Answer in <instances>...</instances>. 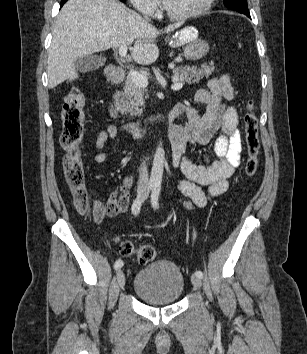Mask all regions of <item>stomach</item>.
<instances>
[{
  "label": "stomach",
  "mask_w": 307,
  "mask_h": 354,
  "mask_svg": "<svg viewBox=\"0 0 307 354\" xmlns=\"http://www.w3.org/2000/svg\"><path fill=\"white\" fill-rule=\"evenodd\" d=\"M198 31L195 27H186L169 39L172 47L185 45L183 55L187 60L197 61L205 57L209 52L207 41L198 39Z\"/></svg>",
  "instance_id": "stomach-1"
}]
</instances>
